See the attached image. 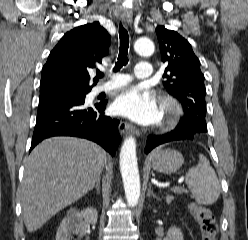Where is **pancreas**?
<instances>
[{"label":"pancreas","instance_id":"1","mask_svg":"<svg viewBox=\"0 0 248 240\" xmlns=\"http://www.w3.org/2000/svg\"><path fill=\"white\" fill-rule=\"evenodd\" d=\"M176 193H177V192H176ZM172 199H173V197L167 196V197H166V202H167V203H170Z\"/></svg>","mask_w":248,"mask_h":240}]
</instances>
